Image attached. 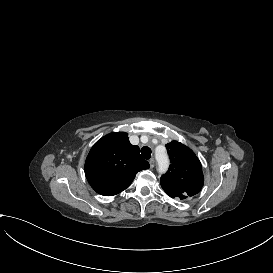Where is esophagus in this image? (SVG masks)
Returning a JSON list of instances; mask_svg holds the SVG:
<instances>
[{
	"mask_svg": "<svg viewBox=\"0 0 273 273\" xmlns=\"http://www.w3.org/2000/svg\"><path fill=\"white\" fill-rule=\"evenodd\" d=\"M149 164H150V168H153L155 166V160H154V158H151L149 160Z\"/></svg>",
	"mask_w": 273,
	"mask_h": 273,
	"instance_id": "esophagus-1",
	"label": "esophagus"
}]
</instances>
